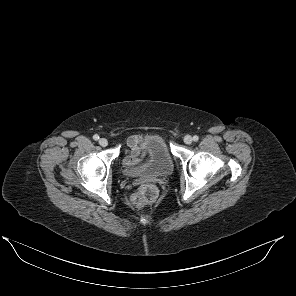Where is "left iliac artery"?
I'll return each mask as SVG.
<instances>
[{
	"label": "left iliac artery",
	"mask_w": 296,
	"mask_h": 296,
	"mask_svg": "<svg viewBox=\"0 0 296 296\" xmlns=\"http://www.w3.org/2000/svg\"><path fill=\"white\" fill-rule=\"evenodd\" d=\"M193 140L196 142L199 140V137L197 135L193 136Z\"/></svg>",
	"instance_id": "left-iliac-artery-1"
}]
</instances>
